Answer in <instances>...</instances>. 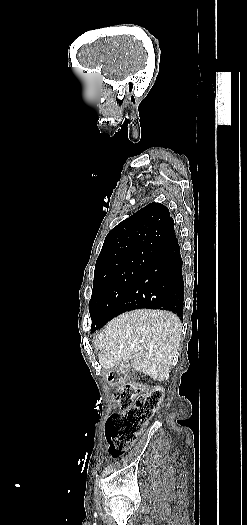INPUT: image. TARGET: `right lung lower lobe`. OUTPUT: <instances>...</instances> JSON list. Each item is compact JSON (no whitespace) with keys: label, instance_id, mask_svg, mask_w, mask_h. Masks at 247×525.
Listing matches in <instances>:
<instances>
[{"label":"right lung lower lobe","instance_id":"98d812e1","mask_svg":"<svg viewBox=\"0 0 247 525\" xmlns=\"http://www.w3.org/2000/svg\"><path fill=\"white\" fill-rule=\"evenodd\" d=\"M184 282L180 246L175 236L150 261L118 306L117 315L138 309L169 310L182 318ZM116 315V316H117ZM91 328V332L101 328Z\"/></svg>","mask_w":247,"mask_h":525}]
</instances>
